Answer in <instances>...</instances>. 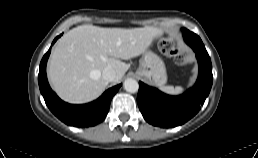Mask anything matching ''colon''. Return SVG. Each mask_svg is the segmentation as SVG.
Instances as JSON below:
<instances>
[{"mask_svg": "<svg viewBox=\"0 0 258 158\" xmlns=\"http://www.w3.org/2000/svg\"><path fill=\"white\" fill-rule=\"evenodd\" d=\"M161 51L171 56L179 64H185L189 61L190 51L189 50H180L176 47L175 41L172 38L166 37L160 42Z\"/></svg>", "mask_w": 258, "mask_h": 158, "instance_id": "colon-1", "label": "colon"}]
</instances>
